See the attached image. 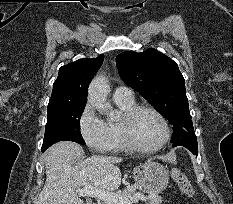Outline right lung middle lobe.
Listing matches in <instances>:
<instances>
[{
  "label": "right lung middle lobe",
  "instance_id": "obj_1",
  "mask_svg": "<svg viewBox=\"0 0 233 204\" xmlns=\"http://www.w3.org/2000/svg\"><path fill=\"white\" fill-rule=\"evenodd\" d=\"M85 104L83 102L48 105L42 149H47L51 145L65 140L85 144L80 132V117Z\"/></svg>",
  "mask_w": 233,
  "mask_h": 204
}]
</instances>
